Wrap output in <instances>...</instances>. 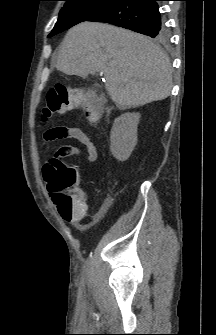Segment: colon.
Listing matches in <instances>:
<instances>
[{
  "label": "colon",
  "instance_id": "5ec220e1",
  "mask_svg": "<svg viewBox=\"0 0 216 335\" xmlns=\"http://www.w3.org/2000/svg\"><path fill=\"white\" fill-rule=\"evenodd\" d=\"M83 106L88 119L95 123L101 116L102 104L90 93L82 88H67L58 85L48 91L46 103L42 108L41 116L47 120L54 115L63 114L73 108ZM70 155V148L62 146L48 161L52 167L49 173L53 198L58 204L60 213L65 216L78 211L80 204L73 197V190L79 185V173L75 166L67 165L63 158Z\"/></svg>",
  "mask_w": 216,
  "mask_h": 335
}]
</instances>
